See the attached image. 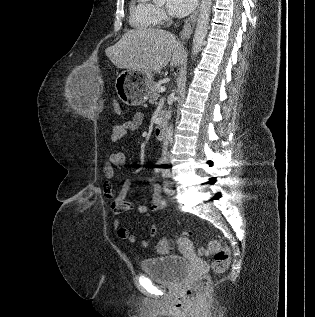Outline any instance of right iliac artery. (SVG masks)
I'll return each mask as SVG.
<instances>
[{"instance_id": "obj_1", "label": "right iliac artery", "mask_w": 315, "mask_h": 317, "mask_svg": "<svg viewBox=\"0 0 315 317\" xmlns=\"http://www.w3.org/2000/svg\"><path fill=\"white\" fill-rule=\"evenodd\" d=\"M162 165V161L158 162V167L155 169L156 172H160L161 171V166Z\"/></svg>"}]
</instances>
